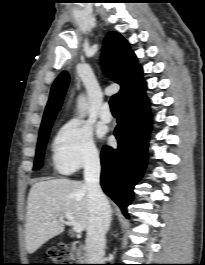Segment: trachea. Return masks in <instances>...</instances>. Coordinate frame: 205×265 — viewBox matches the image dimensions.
I'll list each match as a JSON object with an SVG mask.
<instances>
[{
  "label": "trachea",
  "instance_id": "3493384b",
  "mask_svg": "<svg viewBox=\"0 0 205 265\" xmlns=\"http://www.w3.org/2000/svg\"><path fill=\"white\" fill-rule=\"evenodd\" d=\"M110 108L112 112H118L117 97L113 95L109 101Z\"/></svg>",
  "mask_w": 205,
  "mask_h": 265
}]
</instances>
